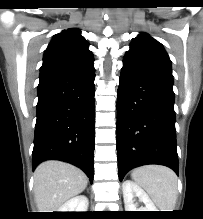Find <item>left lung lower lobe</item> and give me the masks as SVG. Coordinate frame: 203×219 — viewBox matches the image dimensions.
I'll return each mask as SVG.
<instances>
[{"instance_id": "0a47b994", "label": "left lung lower lobe", "mask_w": 203, "mask_h": 219, "mask_svg": "<svg viewBox=\"0 0 203 219\" xmlns=\"http://www.w3.org/2000/svg\"><path fill=\"white\" fill-rule=\"evenodd\" d=\"M123 63L117 95L119 179L146 164L178 174L172 73L131 59Z\"/></svg>"}]
</instances>
